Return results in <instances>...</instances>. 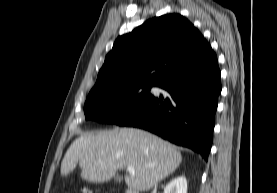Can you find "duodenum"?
Returning a JSON list of instances; mask_svg holds the SVG:
<instances>
[{
	"label": "duodenum",
	"mask_w": 277,
	"mask_h": 193,
	"mask_svg": "<svg viewBox=\"0 0 277 193\" xmlns=\"http://www.w3.org/2000/svg\"><path fill=\"white\" fill-rule=\"evenodd\" d=\"M126 193H138V192L135 191V190H133V189H128V190L126 191Z\"/></svg>",
	"instance_id": "410a0bca"
}]
</instances>
